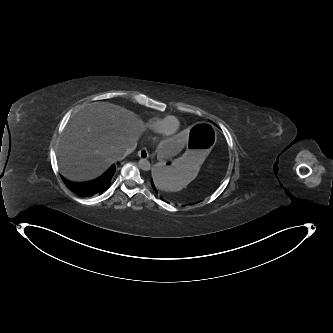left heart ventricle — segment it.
Masks as SVG:
<instances>
[{"instance_id": "obj_1", "label": "left heart ventricle", "mask_w": 333, "mask_h": 333, "mask_svg": "<svg viewBox=\"0 0 333 333\" xmlns=\"http://www.w3.org/2000/svg\"><path fill=\"white\" fill-rule=\"evenodd\" d=\"M176 127H177V123H176V121H175L174 119L169 120V121L167 122V124H166V133H167L168 135L173 134V133L175 132V130H176Z\"/></svg>"}]
</instances>
